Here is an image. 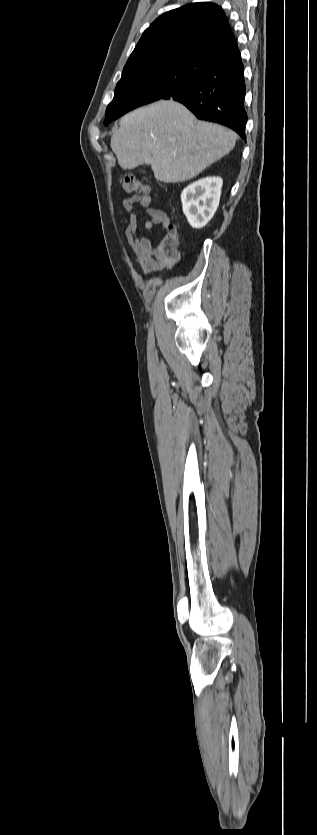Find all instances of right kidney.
<instances>
[{
	"instance_id": "right-kidney-1",
	"label": "right kidney",
	"mask_w": 317,
	"mask_h": 835,
	"mask_svg": "<svg viewBox=\"0 0 317 835\" xmlns=\"http://www.w3.org/2000/svg\"><path fill=\"white\" fill-rule=\"evenodd\" d=\"M222 184L219 177H205L182 191L183 212L193 228L204 227L213 217L219 206Z\"/></svg>"
}]
</instances>
